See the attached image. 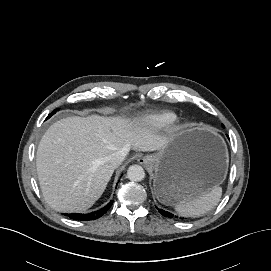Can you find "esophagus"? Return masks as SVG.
Instances as JSON below:
<instances>
[{"mask_svg": "<svg viewBox=\"0 0 271 271\" xmlns=\"http://www.w3.org/2000/svg\"><path fill=\"white\" fill-rule=\"evenodd\" d=\"M138 162L143 165H148L151 163V158L149 156H144L138 159Z\"/></svg>", "mask_w": 271, "mask_h": 271, "instance_id": "esophagus-1", "label": "esophagus"}]
</instances>
